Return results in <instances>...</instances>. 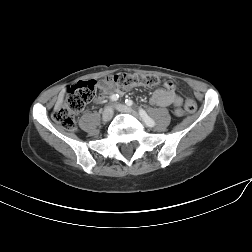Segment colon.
<instances>
[{"label":"colon","instance_id":"colon-1","mask_svg":"<svg viewBox=\"0 0 252 252\" xmlns=\"http://www.w3.org/2000/svg\"><path fill=\"white\" fill-rule=\"evenodd\" d=\"M104 81L108 86L121 92L135 85L156 87L161 83L157 76L143 73H117L107 76ZM165 84L174 86L171 81H167ZM96 91L97 84L94 80L80 81L71 86L62 103L53 112L54 121L62 128L74 131L76 129L75 115L96 97ZM196 107V102L192 98H186L185 109L187 112H194ZM178 113L180 114L181 111Z\"/></svg>","mask_w":252,"mask_h":252}]
</instances>
